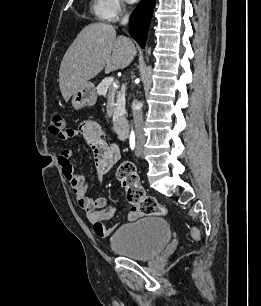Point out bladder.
I'll return each mask as SVG.
<instances>
[{
	"label": "bladder",
	"instance_id": "bladder-1",
	"mask_svg": "<svg viewBox=\"0 0 261 306\" xmlns=\"http://www.w3.org/2000/svg\"><path fill=\"white\" fill-rule=\"evenodd\" d=\"M171 237L168 222L147 216L119 227L110 237L111 250L133 260H149L160 253Z\"/></svg>",
	"mask_w": 261,
	"mask_h": 306
}]
</instances>
